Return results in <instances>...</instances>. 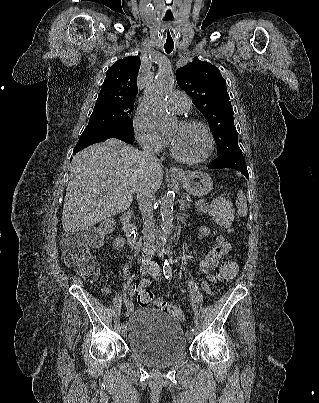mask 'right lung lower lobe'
Wrapping results in <instances>:
<instances>
[{"instance_id": "obj_1", "label": "right lung lower lobe", "mask_w": 319, "mask_h": 403, "mask_svg": "<svg viewBox=\"0 0 319 403\" xmlns=\"http://www.w3.org/2000/svg\"><path fill=\"white\" fill-rule=\"evenodd\" d=\"M109 138H117L126 143H133L135 141L134 132L131 133L119 126H96L91 128H86L78 143L74 148V153L98 142L105 141Z\"/></svg>"}]
</instances>
